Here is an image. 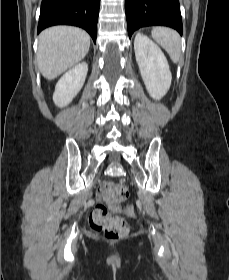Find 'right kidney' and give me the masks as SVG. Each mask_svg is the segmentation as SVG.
I'll return each mask as SVG.
<instances>
[{
	"instance_id": "obj_1",
	"label": "right kidney",
	"mask_w": 229,
	"mask_h": 280,
	"mask_svg": "<svg viewBox=\"0 0 229 280\" xmlns=\"http://www.w3.org/2000/svg\"><path fill=\"white\" fill-rule=\"evenodd\" d=\"M88 65L82 62L67 71L58 81L53 101L58 107L67 106L79 93L86 79Z\"/></svg>"
}]
</instances>
